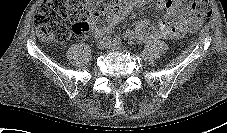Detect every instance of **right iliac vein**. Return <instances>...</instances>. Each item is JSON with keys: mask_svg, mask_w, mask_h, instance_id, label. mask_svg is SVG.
<instances>
[{"mask_svg": "<svg viewBox=\"0 0 227 133\" xmlns=\"http://www.w3.org/2000/svg\"><path fill=\"white\" fill-rule=\"evenodd\" d=\"M109 44L110 43L108 41H106L105 39H99L97 41V47L99 49H106V48H108Z\"/></svg>", "mask_w": 227, "mask_h": 133, "instance_id": "63e3f726", "label": "right iliac vein"}]
</instances>
